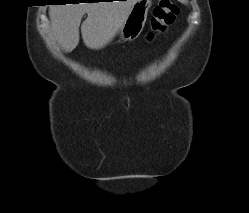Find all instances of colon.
Listing matches in <instances>:
<instances>
[{"label":"colon","instance_id":"colon-1","mask_svg":"<svg viewBox=\"0 0 249 213\" xmlns=\"http://www.w3.org/2000/svg\"><path fill=\"white\" fill-rule=\"evenodd\" d=\"M178 14L179 6L175 2L160 0L152 11L151 31L147 34V40L152 42L158 36L164 34Z\"/></svg>","mask_w":249,"mask_h":213}]
</instances>
